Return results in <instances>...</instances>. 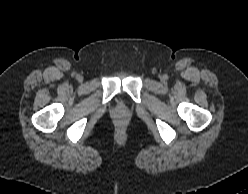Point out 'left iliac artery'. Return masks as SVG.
<instances>
[{"label": "left iliac artery", "instance_id": "44dca946", "mask_svg": "<svg viewBox=\"0 0 248 194\" xmlns=\"http://www.w3.org/2000/svg\"><path fill=\"white\" fill-rule=\"evenodd\" d=\"M164 79H166V80H167V79H168V76H167V75H165V76H164Z\"/></svg>", "mask_w": 248, "mask_h": 194}]
</instances>
